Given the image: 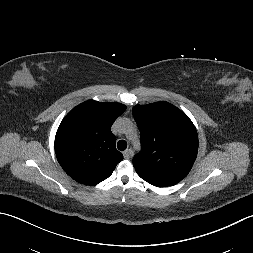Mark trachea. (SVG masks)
Instances as JSON below:
<instances>
[{"label":"trachea","instance_id":"3493384b","mask_svg":"<svg viewBox=\"0 0 253 253\" xmlns=\"http://www.w3.org/2000/svg\"><path fill=\"white\" fill-rule=\"evenodd\" d=\"M117 148L120 151H124L127 148V142L125 140H119L117 143Z\"/></svg>","mask_w":253,"mask_h":253}]
</instances>
